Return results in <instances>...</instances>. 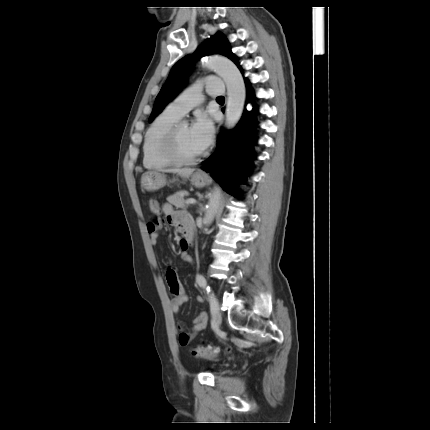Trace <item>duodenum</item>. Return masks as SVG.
<instances>
[{"label": "duodenum", "instance_id": "410a0bca", "mask_svg": "<svg viewBox=\"0 0 430 430\" xmlns=\"http://www.w3.org/2000/svg\"><path fill=\"white\" fill-rule=\"evenodd\" d=\"M192 241H193V237H192V236H189V237H188V239H187V243H188V244H191V243H192Z\"/></svg>", "mask_w": 430, "mask_h": 430}]
</instances>
